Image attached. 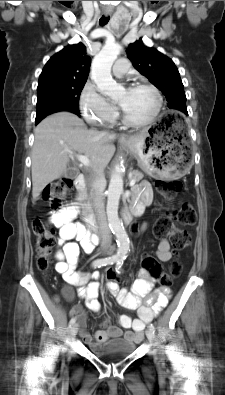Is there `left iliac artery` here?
Here are the masks:
<instances>
[{"label": "left iliac artery", "mask_w": 225, "mask_h": 395, "mask_svg": "<svg viewBox=\"0 0 225 395\" xmlns=\"http://www.w3.org/2000/svg\"><path fill=\"white\" fill-rule=\"evenodd\" d=\"M123 265V259H118L116 261V271L119 273L121 270V267ZM149 329H151L153 332L155 331V327L153 324H149Z\"/></svg>", "instance_id": "44dca946"}]
</instances>
